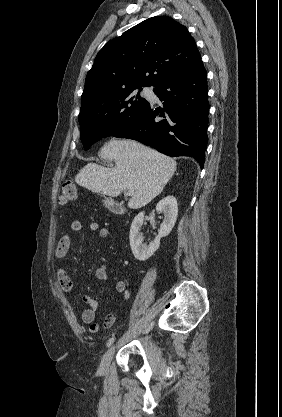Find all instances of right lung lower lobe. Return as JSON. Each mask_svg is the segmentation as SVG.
<instances>
[{"instance_id": "1", "label": "right lung lower lobe", "mask_w": 282, "mask_h": 417, "mask_svg": "<svg viewBox=\"0 0 282 417\" xmlns=\"http://www.w3.org/2000/svg\"><path fill=\"white\" fill-rule=\"evenodd\" d=\"M154 93L163 101V108L149 104L112 136L137 140L168 156H191L203 168L209 104L202 61L164 80Z\"/></svg>"}]
</instances>
